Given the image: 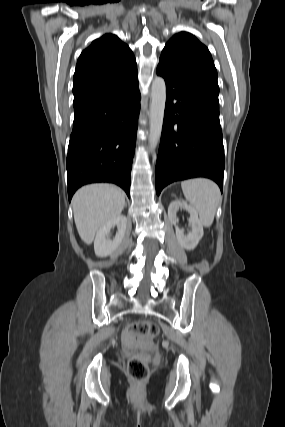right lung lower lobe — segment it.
Returning <instances> with one entry per match:
<instances>
[{"label":"right lung lower lobe","instance_id":"98d812e1","mask_svg":"<svg viewBox=\"0 0 285 427\" xmlns=\"http://www.w3.org/2000/svg\"><path fill=\"white\" fill-rule=\"evenodd\" d=\"M66 161L69 201L84 184L110 182L130 197L140 92L137 74L75 103Z\"/></svg>","mask_w":285,"mask_h":427}]
</instances>
